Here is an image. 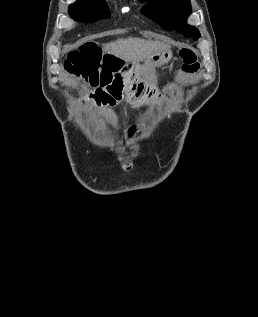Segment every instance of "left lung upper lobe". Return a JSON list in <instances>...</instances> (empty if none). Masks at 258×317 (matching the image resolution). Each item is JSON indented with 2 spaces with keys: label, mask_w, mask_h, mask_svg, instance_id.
Segmentation results:
<instances>
[{
  "label": "left lung upper lobe",
  "mask_w": 258,
  "mask_h": 317,
  "mask_svg": "<svg viewBox=\"0 0 258 317\" xmlns=\"http://www.w3.org/2000/svg\"><path fill=\"white\" fill-rule=\"evenodd\" d=\"M146 1V0H145ZM142 13L167 30L175 29L186 37L197 40L199 31L185 23L191 13L189 0H149Z\"/></svg>",
  "instance_id": "5c2ea615"
}]
</instances>
